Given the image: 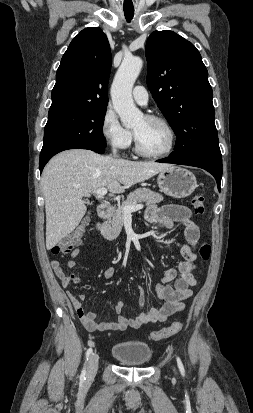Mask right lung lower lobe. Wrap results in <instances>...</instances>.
<instances>
[{
  "mask_svg": "<svg viewBox=\"0 0 253 413\" xmlns=\"http://www.w3.org/2000/svg\"><path fill=\"white\" fill-rule=\"evenodd\" d=\"M105 148H106V142L90 144V145L83 144V143H77V142L64 143V144L57 145L48 150L41 151L40 162H39L40 172H42L44 166L50 160V158L61 151L68 150V149H87V150H92L99 154H103L105 152Z\"/></svg>",
  "mask_w": 253,
  "mask_h": 413,
  "instance_id": "obj_1",
  "label": "right lung lower lobe"
}]
</instances>
